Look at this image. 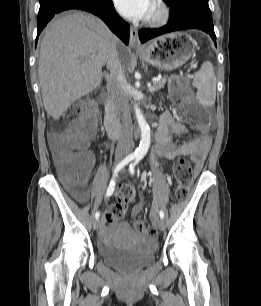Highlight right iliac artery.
I'll return each instance as SVG.
<instances>
[{"instance_id":"82829eb1","label":"right iliac artery","mask_w":261,"mask_h":306,"mask_svg":"<svg viewBox=\"0 0 261 306\" xmlns=\"http://www.w3.org/2000/svg\"><path fill=\"white\" fill-rule=\"evenodd\" d=\"M136 158L135 155H128L127 157H125L115 168L114 173H113V177L110 181V184L107 188V192H106V196L109 197L113 194L114 190H115V186H116V181L115 178L118 175V172L124 167L126 166L129 162H131L132 160H134ZM100 217V212L97 211L95 213V218L99 219Z\"/></svg>"}]
</instances>
